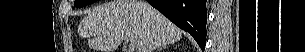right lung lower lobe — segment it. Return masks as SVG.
<instances>
[{
  "mask_svg": "<svg viewBox=\"0 0 305 52\" xmlns=\"http://www.w3.org/2000/svg\"><path fill=\"white\" fill-rule=\"evenodd\" d=\"M170 21L190 33L202 51L206 44V0H147Z\"/></svg>",
  "mask_w": 305,
  "mask_h": 52,
  "instance_id": "right-lung-lower-lobe-1",
  "label": "right lung lower lobe"
}]
</instances>
